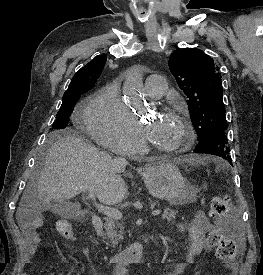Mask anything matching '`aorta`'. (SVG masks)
I'll use <instances>...</instances> for the list:
<instances>
[{
	"instance_id": "762f6f07",
	"label": "aorta",
	"mask_w": 263,
	"mask_h": 275,
	"mask_svg": "<svg viewBox=\"0 0 263 275\" xmlns=\"http://www.w3.org/2000/svg\"><path fill=\"white\" fill-rule=\"evenodd\" d=\"M143 80L138 69H131L126 76L123 84V94L125 101L132 103L138 101L142 97Z\"/></svg>"
}]
</instances>
